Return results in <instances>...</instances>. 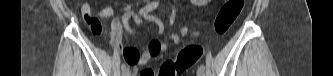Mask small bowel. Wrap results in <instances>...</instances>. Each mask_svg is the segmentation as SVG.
Listing matches in <instances>:
<instances>
[{
  "label": "small bowel",
  "instance_id": "obj_1",
  "mask_svg": "<svg viewBox=\"0 0 333 76\" xmlns=\"http://www.w3.org/2000/svg\"><path fill=\"white\" fill-rule=\"evenodd\" d=\"M203 2V1H202ZM81 13L83 19L89 25L91 31L94 33V37L98 38L99 34L102 32V25L99 19L110 18L114 15V9L111 5L105 6L101 11L98 12L96 16L92 14L91 6L89 3L85 2L81 6ZM144 17L155 23L158 26V33H162L163 24L162 22L154 16H151L147 13L143 14ZM131 19H134L137 24L141 23V19L136 16V14L128 10L124 13L122 18L114 17L110 23V36H111V45L114 48H118L121 42L120 33L122 30L127 31L130 34H134L135 31L130 27L129 22ZM197 32H193L191 36H195ZM188 35V29L186 26L182 27L180 34H171L166 37L164 41H159L158 39H151L147 49L144 54L139 58L141 53V48L137 47L136 44H126L124 56L128 63H130L134 70L137 71L139 67L147 65L151 60L155 59L161 53H164L171 49L172 42L173 44H180L184 38Z\"/></svg>",
  "mask_w": 333,
  "mask_h": 76
}]
</instances>
